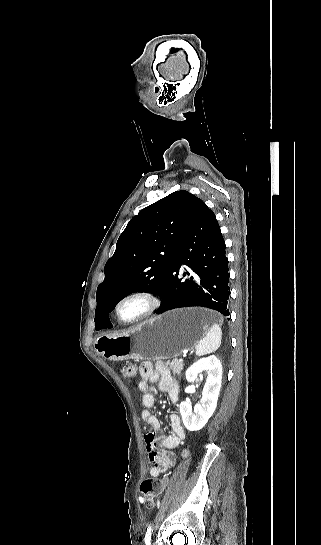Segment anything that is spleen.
I'll use <instances>...</instances> for the list:
<instances>
[{"label": "spleen", "mask_w": 321, "mask_h": 545, "mask_svg": "<svg viewBox=\"0 0 321 545\" xmlns=\"http://www.w3.org/2000/svg\"><path fill=\"white\" fill-rule=\"evenodd\" d=\"M222 329L217 323H213L210 331H208L206 337L199 341L196 347V355L202 357V355H210L217 351L221 345Z\"/></svg>", "instance_id": "obj_1"}]
</instances>
